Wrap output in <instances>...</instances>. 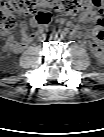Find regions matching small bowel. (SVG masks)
<instances>
[{
	"label": "small bowel",
	"mask_w": 104,
	"mask_h": 137,
	"mask_svg": "<svg viewBox=\"0 0 104 137\" xmlns=\"http://www.w3.org/2000/svg\"><path fill=\"white\" fill-rule=\"evenodd\" d=\"M96 22H99V18L94 11L83 12L78 18V25L70 30V34L74 38L91 41L90 50L94 55L95 59L101 62L103 60V52H98L94 48V44H98L99 42L96 39L91 40V35L87 33L84 29V26ZM30 25L31 27L35 28L38 27L39 23L36 19H33L31 20ZM4 35L7 38L4 51L12 53H18L24 48H26L35 37L34 34L29 32V26L26 23L21 24V38L19 41L16 40L14 34L12 33H5Z\"/></svg>",
	"instance_id": "small-bowel-1"
}]
</instances>
